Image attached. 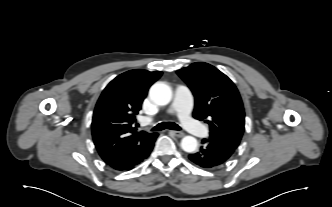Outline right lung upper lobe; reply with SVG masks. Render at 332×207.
I'll return each mask as SVG.
<instances>
[{
	"label": "right lung upper lobe",
	"mask_w": 332,
	"mask_h": 207,
	"mask_svg": "<svg viewBox=\"0 0 332 207\" xmlns=\"http://www.w3.org/2000/svg\"><path fill=\"white\" fill-rule=\"evenodd\" d=\"M161 75L160 71L130 70L103 90L93 114L92 135L101 158L113 169L124 170L137 163L156 137L157 133L137 131L135 116Z\"/></svg>",
	"instance_id": "obj_1"
}]
</instances>
